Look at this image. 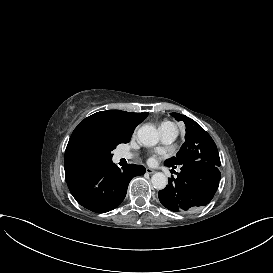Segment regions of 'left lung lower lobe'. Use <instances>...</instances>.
Segmentation results:
<instances>
[{
  "label": "left lung lower lobe",
  "instance_id": "left-lung-lower-lobe-1",
  "mask_svg": "<svg viewBox=\"0 0 273 273\" xmlns=\"http://www.w3.org/2000/svg\"><path fill=\"white\" fill-rule=\"evenodd\" d=\"M167 166L176 168V165ZM180 166L177 178L169 179L166 188L159 191L161 204L174 212L207 205L219 186L221 173L218 166L205 161L187 162Z\"/></svg>",
  "mask_w": 273,
  "mask_h": 273
}]
</instances>
